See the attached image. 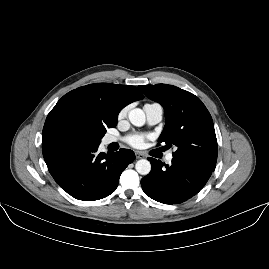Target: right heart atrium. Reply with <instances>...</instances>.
Here are the masks:
<instances>
[{"label": "right heart atrium", "mask_w": 269, "mask_h": 269, "mask_svg": "<svg viewBox=\"0 0 269 269\" xmlns=\"http://www.w3.org/2000/svg\"><path fill=\"white\" fill-rule=\"evenodd\" d=\"M128 111H129V107H128V106L122 108V109L119 111V113H118V118H122V117L126 116L127 113H128Z\"/></svg>", "instance_id": "d8ad5b80"}]
</instances>
